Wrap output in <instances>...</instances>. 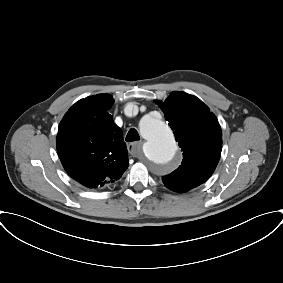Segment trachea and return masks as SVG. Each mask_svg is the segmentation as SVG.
Returning a JSON list of instances; mask_svg holds the SVG:
<instances>
[{
  "label": "trachea",
  "mask_w": 283,
  "mask_h": 283,
  "mask_svg": "<svg viewBox=\"0 0 283 283\" xmlns=\"http://www.w3.org/2000/svg\"><path fill=\"white\" fill-rule=\"evenodd\" d=\"M137 140H140V136L137 130L134 128L130 129L126 136V141L132 142V141H137Z\"/></svg>",
  "instance_id": "3493384b"
}]
</instances>
